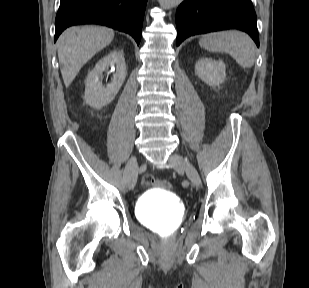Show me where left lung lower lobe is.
Instances as JSON below:
<instances>
[{"instance_id": "left-lung-lower-lobe-1", "label": "left lung lower lobe", "mask_w": 309, "mask_h": 288, "mask_svg": "<svg viewBox=\"0 0 309 288\" xmlns=\"http://www.w3.org/2000/svg\"><path fill=\"white\" fill-rule=\"evenodd\" d=\"M177 46L187 37L224 29L247 32L259 47L251 0H184L176 12Z\"/></svg>"}]
</instances>
